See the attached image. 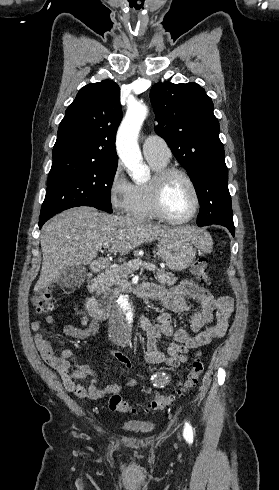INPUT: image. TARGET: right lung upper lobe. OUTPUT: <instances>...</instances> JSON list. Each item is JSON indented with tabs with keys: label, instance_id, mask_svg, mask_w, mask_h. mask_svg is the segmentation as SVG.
I'll list each match as a JSON object with an SVG mask.
<instances>
[{
	"label": "right lung upper lobe",
	"instance_id": "right-lung-upper-lobe-1",
	"mask_svg": "<svg viewBox=\"0 0 279 490\" xmlns=\"http://www.w3.org/2000/svg\"><path fill=\"white\" fill-rule=\"evenodd\" d=\"M122 119L120 88L111 80L88 84L65 112L53 148V163L117 160L115 135Z\"/></svg>",
	"mask_w": 279,
	"mask_h": 490
}]
</instances>
